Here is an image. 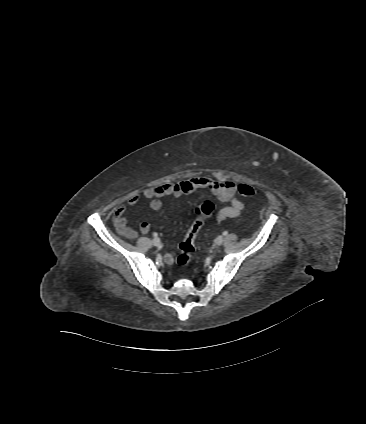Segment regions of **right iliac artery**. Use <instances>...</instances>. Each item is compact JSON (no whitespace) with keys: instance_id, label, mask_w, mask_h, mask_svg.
<instances>
[{"instance_id":"1","label":"right iliac artery","mask_w":366,"mask_h":424,"mask_svg":"<svg viewBox=\"0 0 366 424\" xmlns=\"http://www.w3.org/2000/svg\"><path fill=\"white\" fill-rule=\"evenodd\" d=\"M153 236H154V237H157V233H154V234H153Z\"/></svg>"}]
</instances>
